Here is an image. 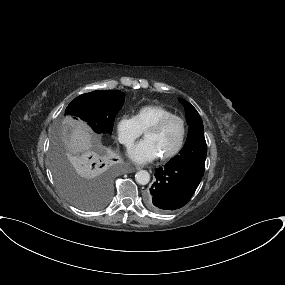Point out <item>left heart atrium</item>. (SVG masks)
I'll return each instance as SVG.
<instances>
[{
	"instance_id": "left-heart-atrium-1",
	"label": "left heart atrium",
	"mask_w": 285,
	"mask_h": 285,
	"mask_svg": "<svg viewBox=\"0 0 285 285\" xmlns=\"http://www.w3.org/2000/svg\"><path fill=\"white\" fill-rule=\"evenodd\" d=\"M128 156L138 164H145L158 157V153L153 144L144 139L128 150Z\"/></svg>"
}]
</instances>
